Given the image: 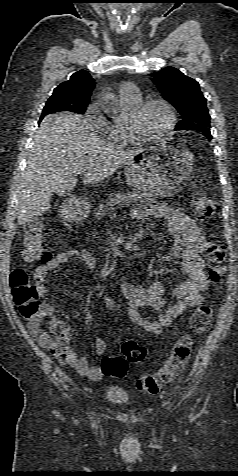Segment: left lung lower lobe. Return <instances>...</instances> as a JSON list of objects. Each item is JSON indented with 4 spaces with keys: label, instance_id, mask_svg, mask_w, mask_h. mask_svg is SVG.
Segmentation results:
<instances>
[{
    "label": "left lung lower lobe",
    "instance_id": "obj_1",
    "mask_svg": "<svg viewBox=\"0 0 238 476\" xmlns=\"http://www.w3.org/2000/svg\"><path fill=\"white\" fill-rule=\"evenodd\" d=\"M198 131L203 132L208 139H211L212 136L210 134V130L202 129V130H198Z\"/></svg>",
    "mask_w": 238,
    "mask_h": 476
}]
</instances>
